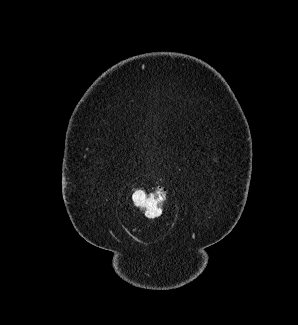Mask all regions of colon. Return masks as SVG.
I'll return each instance as SVG.
<instances>
[{"label":"colon","mask_w":298,"mask_h":325,"mask_svg":"<svg viewBox=\"0 0 298 325\" xmlns=\"http://www.w3.org/2000/svg\"><path fill=\"white\" fill-rule=\"evenodd\" d=\"M167 198V191L163 188L145 190L141 188L134 189L131 192L133 206L149 218L156 217Z\"/></svg>","instance_id":"obj_1"}]
</instances>
